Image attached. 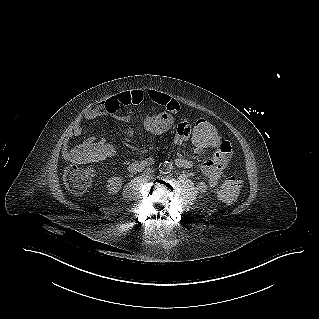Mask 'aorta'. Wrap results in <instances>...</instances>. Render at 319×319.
I'll return each mask as SVG.
<instances>
[{"label":"aorta","mask_w":319,"mask_h":319,"mask_svg":"<svg viewBox=\"0 0 319 319\" xmlns=\"http://www.w3.org/2000/svg\"><path fill=\"white\" fill-rule=\"evenodd\" d=\"M164 168L166 169V171H169L171 169V166L167 163H164Z\"/></svg>","instance_id":"aorta-1"}]
</instances>
